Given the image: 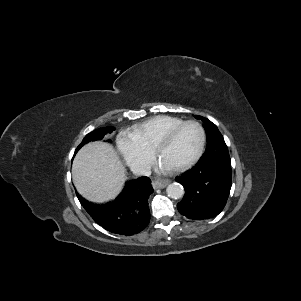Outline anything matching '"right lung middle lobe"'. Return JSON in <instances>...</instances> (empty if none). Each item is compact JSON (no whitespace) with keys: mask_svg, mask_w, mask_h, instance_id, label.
Segmentation results:
<instances>
[{"mask_svg":"<svg viewBox=\"0 0 301 301\" xmlns=\"http://www.w3.org/2000/svg\"><path fill=\"white\" fill-rule=\"evenodd\" d=\"M114 130L113 127H107V128H100L97 129L89 134H87L84 139L82 140L81 144L77 147L75 153L86 143L90 141L100 140L104 137L105 134L111 133Z\"/></svg>","mask_w":301,"mask_h":301,"instance_id":"obj_1","label":"right lung middle lobe"}]
</instances>
